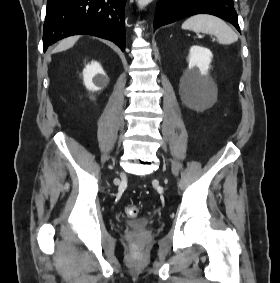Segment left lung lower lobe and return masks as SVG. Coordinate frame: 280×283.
I'll list each match as a JSON object with an SVG mask.
<instances>
[{"mask_svg": "<svg viewBox=\"0 0 280 283\" xmlns=\"http://www.w3.org/2000/svg\"><path fill=\"white\" fill-rule=\"evenodd\" d=\"M195 14H211L230 22L239 32L233 0H158L154 28Z\"/></svg>", "mask_w": 280, "mask_h": 283, "instance_id": "obj_1", "label": "left lung lower lobe"}]
</instances>
